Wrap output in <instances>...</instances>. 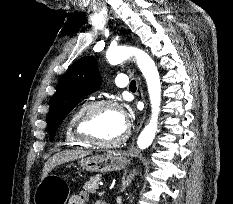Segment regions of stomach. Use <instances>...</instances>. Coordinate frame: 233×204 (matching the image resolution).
I'll return each mask as SVG.
<instances>
[{
    "label": "stomach",
    "instance_id": "stomach-1",
    "mask_svg": "<svg viewBox=\"0 0 233 204\" xmlns=\"http://www.w3.org/2000/svg\"><path fill=\"white\" fill-rule=\"evenodd\" d=\"M79 165L90 172L119 171L129 163V155L120 151H108L81 159ZM69 196L67 182L55 175H47L37 185L34 204H66Z\"/></svg>",
    "mask_w": 233,
    "mask_h": 204
}]
</instances>
